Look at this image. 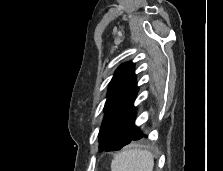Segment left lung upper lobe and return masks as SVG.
Listing matches in <instances>:
<instances>
[{
	"label": "left lung upper lobe",
	"mask_w": 223,
	"mask_h": 171,
	"mask_svg": "<svg viewBox=\"0 0 223 171\" xmlns=\"http://www.w3.org/2000/svg\"><path fill=\"white\" fill-rule=\"evenodd\" d=\"M137 92L134 64L127 62L116 70L109 84L105 115L98 135L100 148L132 109Z\"/></svg>",
	"instance_id": "1"
}]
</instances>
